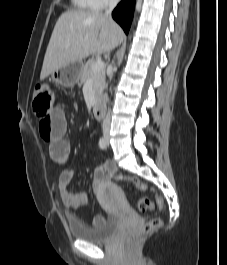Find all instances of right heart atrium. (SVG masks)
<instances>
[{"label": "right heart atrium", "instance_id": "obj_1", "mask_svg": "<svg viewBox=\"0 0 227 265\" xmlns=\"http://www.w3.org/2000/svg\"><path fill=\"white\" fill-rule=\"evenodd\" d=\"M115 0H94L96 9H101L112 4Z\"/></svg>", "mask_w": 227, "mask_h": 265}]
</instances>
